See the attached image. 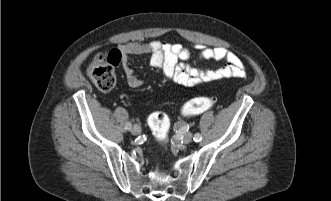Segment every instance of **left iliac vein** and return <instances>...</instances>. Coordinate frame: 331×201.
<instances>
[{
  "label": "left iliac vein",
  "instance_id": "left-iliac-vein-1",
  "mask_svg": "<svg viewBox=\"0 0 331 201\" xmlns=\"http://www.w3.org/2000/svg\"><path fill=\"white\" fill-rule=\"evenodd\" d=\"M192 138H193L192 134L190 132H187L183 135V142L188 144L192 141Z\"/></svg>",
  "mask_w": 331,
  "mask_h": 201
}]
</instances>
